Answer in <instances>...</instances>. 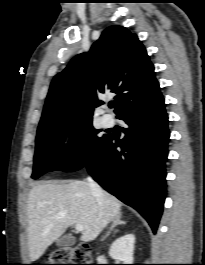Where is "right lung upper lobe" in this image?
Here are the masks:
<instances>
[{
  "label": "right lung upper lobe",
  "instance_id": "obj_1",
  "mask_svg": "<svg viewBox=\"0 0 205 265\" xmlns=\"http://www.w3.org/2000/svg\"><path fill=\"white\" fill-rule=\"evenodd\" d=\"M159 91L154 66L136 34L123 26L104 30L87 53L75 56L51 82L38 131L69 121L92 120L103 102L97 92L116 93L115 113L142 105Z\"/></svg>",
  "mask_w": 205,
  "mask_h": 265
}]
</instances>
